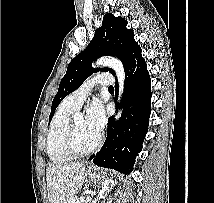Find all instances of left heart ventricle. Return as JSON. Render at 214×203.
Returning <instances> with one entry per match:
<instances>
[{
    "label": "left heart ventricle",
    "mask_w": 214,
    "mask_h": 203,
    "mask_svg": "<svg viewBox=\"0 0 214 203\" xmlns=\"http://www.w3.org/2000/svg\"><path fill=\"white\" fill-rule=\"evenodd\" d=\"M98 134L87 124L84 116L76 117L75 141L80 150L89 149L95 143Z\"/></svg>",
    "instance_id": "left-heart-ventricle-1"
}]
</instances>
